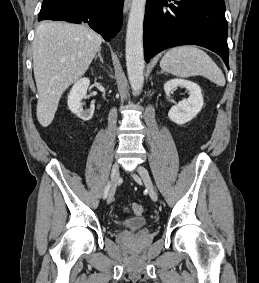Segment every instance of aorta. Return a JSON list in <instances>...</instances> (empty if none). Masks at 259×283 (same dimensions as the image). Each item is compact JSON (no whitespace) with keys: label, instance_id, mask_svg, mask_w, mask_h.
<instances>
[{"label":"aorta","instance_id":"1","mask_svg":"<svg viewBox=\"0 0 259 283\" xmlns=\"http://www.w3.org/2000/svg\"><path fill=\"white\" fill-rule=\"evenodd\" d=\"M146 0H132L126 32V66L134 95L144 84L143 22Z\"/></svg>","mask_w":259,"mask_h":283}]
</instances>
